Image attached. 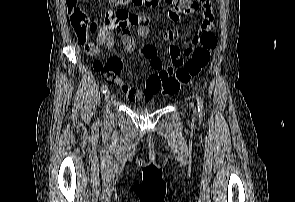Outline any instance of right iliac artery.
<instances>
[{
    "label": "right iliac artery",
    "mask_w": 295,
    "mask_h": 202,
    "mask_svg": "<svg viewBox=\"0 0 295 202\" xmlns=\"http://www.w3.org/2000/svg\"><path fill=\"white\" fill-rule=\"evenodd\" d=\"M107 90H108L107 85H103L102 88H101L102 93H106Z\"/></svg>",
    "instance_id": "1"
}]
</instances>
